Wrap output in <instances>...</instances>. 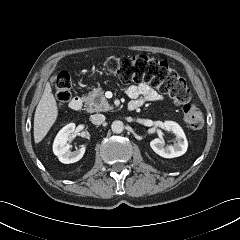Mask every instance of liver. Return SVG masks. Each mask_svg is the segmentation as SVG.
<instances>
[{"instance_id": "liver-1", "label": "liver", "mask_w": 240, "mask_h": 240, "mask_svg": "<svg viewBox=\"0 0 240 240\" xmlns=\"http://www.w3.org/2000/svg\"><path fill=\"white\" fill-rule=\"evenodd\" d=\"M58 116L55 97L50 84H46L42 97L36 107L34 115V141L39 143L47 135Z\"/></svg>"}]
</instances>
